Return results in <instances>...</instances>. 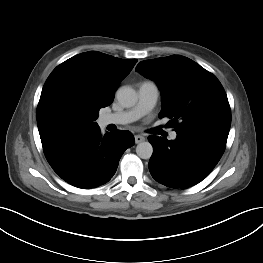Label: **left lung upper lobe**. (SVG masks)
<instances>
[{"instance_id": "left-lung-upper-lobe-1", "label": "left lung upper lobe", "mask_w": 263, "mask_h": 263, "mask_svg": "<svg viewBox=\"0 0 263 263\" xmlns=\"http://www.w3.org/2000/svg\"><path fill=\"white\" fill-rule=\"evenodd\" d=\"M136 72L154 80L162 95L159 118L175 131L229 132L231 110L219 80L193 60L172 55L139 62Z\"/></svg>"}]
</instances>
